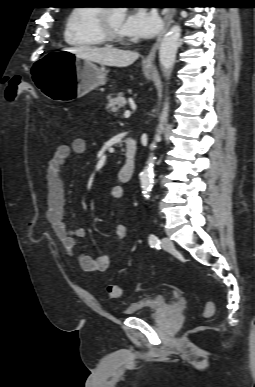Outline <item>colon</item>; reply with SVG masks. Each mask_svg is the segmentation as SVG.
I'll use <instances>...</instances> for the list:
<instances>
[{"label":"colon","instance_id":"colon-1","mask_svg":"<svg viewBox=\"0 0 255 387\" xmlns=\"http://www.w3.org/2000/svg\"><path fill=\"white\" fill-rule=\"evenodd\" d=\"M5 99L8 103H15L22 94H27L32 98H36V92L28 83L22 81L21 79L10 78L7 81L5 87ZM108 295L111 298H119L122 294L121 287L116 284H110L107 287ZM214 313V304L211 301L206 302L205 308L203 311V316L208 318Z\"/></svg>","mask_w":255,"mask_h":387}]
</instances>
